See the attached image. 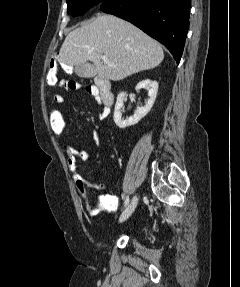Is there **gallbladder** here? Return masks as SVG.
<instances>
[{"label":"gallbladder","instance_id":"obj_1","mask_svg":"<svg viewBox=\"0 0 240 287\" xmlns=\"http://www.w3.org/2000/svg\"><path fill=\"white\" fill-rule=\"evenodd\" d=\"M75 73L81 78H93L96 76V69L93 65L84 63L75 66Z\"/></svg>","mask_w":240,"mask_h":287}]
</instances>
